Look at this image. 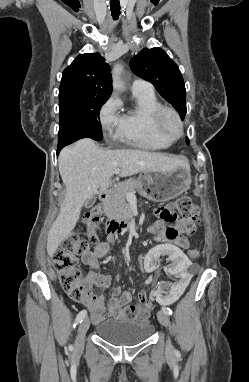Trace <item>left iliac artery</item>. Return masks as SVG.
Returning a JSON list of instances; mask_svg holds the SVG:
<instances>
[{
	"instance_id": "left-iliac-artery-1",
	"label": "left iliac artery",
	"mask_w": 249,
	"mask_h": 382,
	"mask_svg": "<svg viewBox=\"0 0 249 382\" xmlns=\"http://www.w3.org/2000/svg\"><path fill=\"white\" fill-rule=\"evenodd\" d=\"M162 311H164L167 315H171L172 314V310L170 308H166V307H162Z\"/></svg>"
}]
</instances>
